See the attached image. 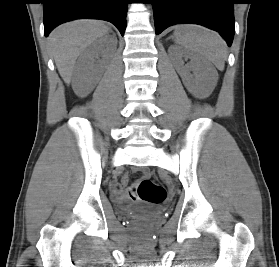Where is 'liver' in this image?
<instances>
[{"label": "liver", "instance_id": "6515ba94", "mask_svg": "<svg viewBox=\"0 0 279 267\" xmlns=\"http://www.w3.org/2000/svg\"><path fill=\"white\" fill-rule=\"evenodd\" d=\"M108 31L109 28L102 21L81 19L60 25L50 33L48 42L65 83H70L80 53Z\"/></svg>", "mask_w": 279, "mask_h": 267}]
</instances>
